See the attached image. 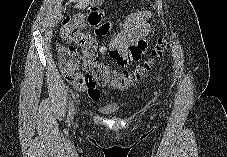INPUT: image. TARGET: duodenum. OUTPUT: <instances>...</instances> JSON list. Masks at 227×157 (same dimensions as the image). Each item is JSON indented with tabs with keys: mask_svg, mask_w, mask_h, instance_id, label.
Listing matches in <instances>:
<instances>
[{
	"mask_svg": "<svg viewBox=\"0 0 227 157\" xmlns=\"http://www.w3.org/2000/svg\"><path fill=\"white\" fill-rule=\"evenodd\" d=\"M100 21H104V16H91L90 25H100ZM104 30H113V25H104ZM98 31L102 32L103 28L99 27Z\"/></svg>",
	"mask_w": 227,
	"mask_h": 157,
	"instance_id": "duodenum-1",
	"label": "duodenum"
}]
</instances>
